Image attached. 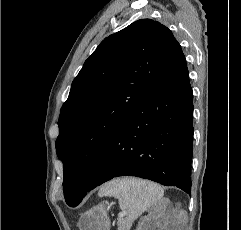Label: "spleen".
I'll use <instances>...</instances> for the list:
<instances>
[{
  "label": "spleen",
  "instance_id": "1",
  "mask_svg": "<svg viewBox=\"0 0 241 230\" xmlns=\"http://www.w3.org/2000/svg\"><path fill=\"white\" fill-rule=\"evenodd\" d=\"M163 189L156 183L136 179L121 178L104 184L98 195L118 199L120 209L128 215L132 222L144 211L156 204L163 197Z\"/></svg>",
  "mask_w": 241,
  "mask_h": 230
}]
</instances>
